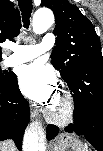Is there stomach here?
<instances>
[{
	"label": "stomach",
	"mask_w": 103,
	"mask_h": 151,
	"mask_svg": "<svg viewBox=\"0 0 103 151\" xmlns=\"http://www.w3.org/2000/svg\"><path fill=\"white\" fill-rule=\"evenodd\" d=\"M51 151H88V149L79 138L61 134L51 144Z\"/></svg>",
	"instance_id": "0dacf381"
}]
</instances>
